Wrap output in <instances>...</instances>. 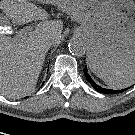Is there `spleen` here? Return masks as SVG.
Segmentation results:
<instances>
[{
    "instance_id": "obj_1",
    "label": "spleen",
    "mask_w": 135,
    "mask_h": 135,
    "mask_svg": "<svg viewBox=\"0 0 135 135\" xmlns=\"http://www.w3.org/2000/svg\"><path fill=\"white\" fill-rule=\"evenodd\" d=\"M91 68V64L89 63ZM104 83L112 89H122L135 83V65L124 71H118L110 75L96 74Z\"/></svg>"
}]
</instances>
